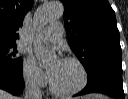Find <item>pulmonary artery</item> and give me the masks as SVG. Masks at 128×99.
I'll list each match as a JSON object with an SVG mask.
<instances>
[{
  "label": "pulmonary artery",
  "mask_w": 128,
  "mask_h": 99,
  "mask_svg": "<svg viewBox=\"0 0 128 99\" xmlns=\"http://www.w3.org/2000/svg\"><path fill=\"white\" fill-rule=\"evenodd\" d=\"M64 30L61 24L56 23L45 28L39 35V37L47 42L58 43L62 40Z\"/></svg>",
  "instance_id": "pulmonary-artery-1"
}]
</instances>
